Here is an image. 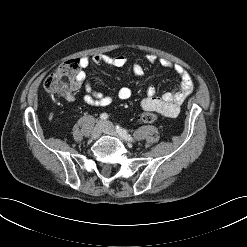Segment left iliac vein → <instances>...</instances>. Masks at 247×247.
I'll list each match as a JSON object with an SVG mask.
<instances>
[{"instance_id":"left-iliac-vein-1","label":"left iliac vein","mask_w":247,"mask_h":247,"mask_svg":"<svg viewBox=\"0 0 247 247\" xmlns=\"http://www.w3.org/2000/svg\"><path fill=\"white\" fill-rule=\"evenodd\" d=\"M103 132L106 133V134H109V135H112V136H116V137H120L121 139H124L122 138L121 136L118 135L117 131L114 129L112 123L110 121H105L103 122Z\"/></svg>"}]
</instances>
